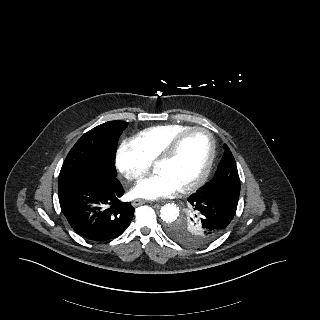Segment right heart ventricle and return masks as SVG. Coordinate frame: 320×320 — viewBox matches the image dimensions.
Instances as JSON below:
<instances>
[{
	"instance_id": "1",
	"label": "right heart ventricle",
	"mask_w": 320,
	"mask_h": 320,
	"mask_svg": "<svg viewBox=\"0 0 320 320\" xmlns=\"http://www.w3.org/2000/svg\"><path fill=\"white\" fill-rule=\"evenodd\" d=\"M189 128L182 124H165L147 128L133 139L148 162L154 161L168 143L180 132Z\"/></svg>"
}]
</instances>
